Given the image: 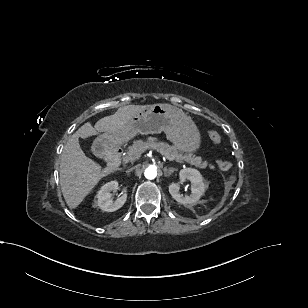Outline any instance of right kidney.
I'll use <instances>...</instances> for the list:
<instances>
[{"instance_id":"obj_1","label":"right kidney","mask_w":308,"mask_h":308,"mask_svg":"<svg viewBox=\"0 0 308 308\" xmlns=\"http://www.w3.org/2000/svg\"><path fill=\"white\" fill-rule=\"evenodd\" d=\"M118 182L110 181L103 185L101 189L98 191L97 198V206L106 212H113L121 208L127 199V188H123L122 196L118 197L115 201L111 199V191L117 190Z\"/></svg>"}]
</instances>
